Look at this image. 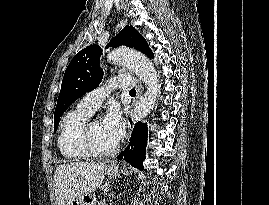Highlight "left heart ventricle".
<instances>
[{"instance_id":"1","label":"left heart ventricle","mask_w":269,"mask_h":205,"mask_svg":"<svg viewBox=\"0 0 269 205\" xmlns=\"http://www.w3.org/2000/svg\"><path fill=\"white\" fill-rule=\"evenodd\" d=\"M91 131L94 138V142L99 149L109 150L116 145V143L105 134L102 128V121H94L91 126Z\"/></svg>"}]
</instances>
